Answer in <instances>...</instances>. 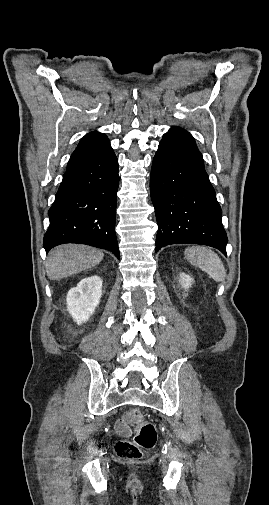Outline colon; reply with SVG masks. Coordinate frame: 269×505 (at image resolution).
<instances>
[{
    "label": "colon",
    "instance_id": "1",
    "mask_svg": "<svg viewBox=\"0 0 269 505\" xmlns=\"http://www.w3.org/2000/svg\"><path fill=\"white\" fill-rule=\"evenodd\" d=\"M130 422L136 428L134 440H120L115 445L116 455L123 460H137L141 458L142 450L151 449L157 441L155 425L145 421L139 411L134 410L130 413Z\"/></svg>",
    "mask_w": 269,
    "mask_h": 505
}]
</instances>
